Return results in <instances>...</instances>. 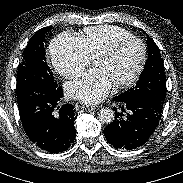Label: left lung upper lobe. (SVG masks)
Here are the masks:
<instances>
[{
  "label": "left lung upper lobe",
  "mask_w": 183,
  "mask_h": 183,
  "mask_svg": "<svg viewBox=\"0 0 183 183\" xmlns=\"http://www.w3.org/2000/svg\"><path fill=\"white\" fill-rule=\"evenodd\" d=\"M147 45L148 59L139 80L135 86L120 95L142 100L163 109L166 97L164 63L158 46L150 37L147 38Z\"/></svg>",
  "instance_id": "obj_1"
}]
</instances>
